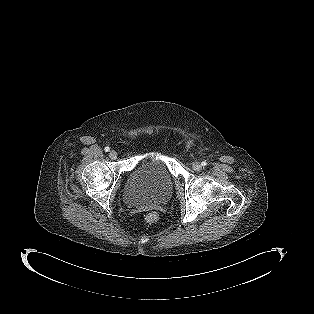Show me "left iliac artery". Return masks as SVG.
<instances>
[{
	"label": "left iliac artery",
	"mask_w": 314,
	"mask_h": 314,
	"mask_svg": "<svg viewBox=\"0 0 314 314\" xmlns=\"http://www.w3.org/2000/svg\"><path fill=\"white\" fill-rule=\"evenodd\" d=\"M201 164H202V166L205 167V166L207 165V162H206V161H203Z\"/></svg>",
	"instance_id": "obj_1"
}]
</instances>
